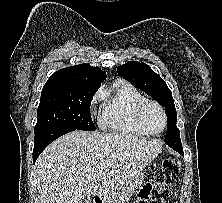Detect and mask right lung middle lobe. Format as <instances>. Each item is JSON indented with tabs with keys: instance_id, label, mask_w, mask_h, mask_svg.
<instances>
[{
	"instance_id": "right-lung-middle-lobe-1",
	"label": "right lung middle lobe",
	"mask_w": 222,
	"mask_h": 203,
	"mask_svg": "<svg viewBox=\"0 0 222 203\" xmlns=\"http://www.w3.org/2000/svg\"><path fill=\"white\" fill-rule=\"evenodd\" d=\"M97 90L49 88L42 90L35 134L54 128L95 131L90 115L91 100Z\"/></svg>"
}]
</instances>
